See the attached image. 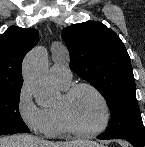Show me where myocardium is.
<instances>
[{"instance_id": "1", "label": "myocardium", "mask_w": 145, "mask_h": 147, "mask_svg": "<svg viewBox=\"0 0 145 147\" xmlns=\"http://www.w3.org/2000/svg\"><path fill=\"white\" fill-rule=\"evenodd\" d=\"M81 89H88L92 91L100 99L101 103L103 104V107L105 109V119L103 124L97 129L90 130V131L81 130L72 122V120L69 117L68 109H67L68 103L74 97V95ZM56 109H57L60 121L62 125L64 126V128L66 129V131L75 136L82 137V138H90V137H94L101 134L108 128L112 118V111H111V107L107 98L97 87H95L94 85L90 83H77V84L70 85L63 92L60 98V101L56 105Z\"/></svg>"}]
</instances>
